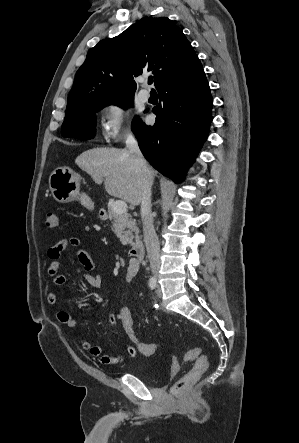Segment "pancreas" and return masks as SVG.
<instances>
[{
	"instance_id": "obj_1",
	"label": "pancreas",
	"mask_w": 299,
	"mask_h": 443,
	"mask_svg": "<svg viewBox=\"0 0 299 443\" xmlns=\"http://www.w3.org/2000/svg\"><path fill=\"white\" fill-rule=\"evenodd\" d=\"M110 219L113 220L114 233L123 245L132 243L139 236V228L130 214H117L110 207Z\"/></svg>"
}]
</instances>
